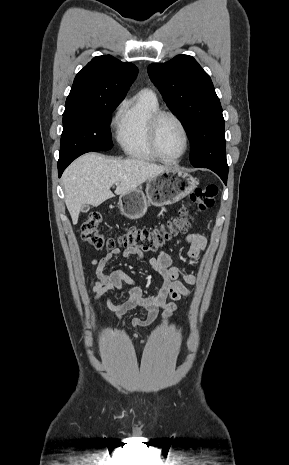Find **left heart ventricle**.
<instances>
[{
  "mask_svg": "<svg viewBox=\"0 0 289 465\" xmlns=\"http://www.w3.org/2000/svg\"><path fill=\"white\" fill-rule=\"evenodd\" d=\"M184 145V135L178 123L170 117L164 118L159 130V148L163 156L176 158L182 153Z\"/></svg>",
  "mask_w": 289,
  "mask_h": 465,
  "instance_id": "1",
  "label": "left heart ventricle"
}]
</instances>
